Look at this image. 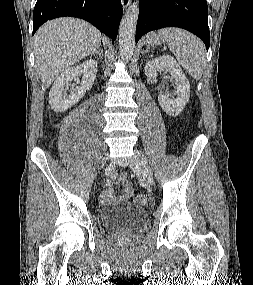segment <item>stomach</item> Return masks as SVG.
Segmentation results:
<instances>
[{"label":"stomach","instance_id":"obj_1","mask_svg":"<svg viewBox=\"0 0 253 285\" xmlns=\"http://www.w3.org/2000/svg\"><path fill=\"white\" fill-rule=\"evenodd\" d=\"M165 39L163 36H161L159 33H151L147 39H146V44L148 46H158L161 45L162 43H165Z\"/></svg>","mask_w":253,"mask_h":285}]
</instances>
